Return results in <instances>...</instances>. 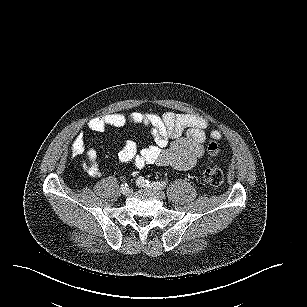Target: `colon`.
I'll return each mask as SVG.
<instances>
[{
  "instance_id": "colon-1",
  "label": "colon",
  "mask_w": 307,
  "mask_h": 307,
  "mask_svg": "<svg viewBox=\"0 0 307 307\" xmlns=\"http://www.w3.org/2000/svg\"><path fill=\"white\" fill-rule=\"evenodd\" d=\"M208 155V166L202 172L203 181L213 187L220 186L224 181V174L220 168L210 166L213 158L218 152V145L216 142L211 141L207 144L206 147Z\"/></svg>"
}]
</instances>
